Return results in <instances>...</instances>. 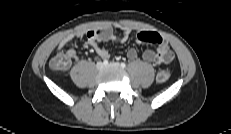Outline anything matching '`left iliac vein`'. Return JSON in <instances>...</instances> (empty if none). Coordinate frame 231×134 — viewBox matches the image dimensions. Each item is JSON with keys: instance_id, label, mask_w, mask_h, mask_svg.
<instances>
[{"instance_id": "4c4485c4", "label": "left iliac vein", "mask_w": 231, "mask_h": 134, "mask_svg": "<svg viewBox=\"0 0 231 134\" xmlns=\"http://www.w3.org/2000/svg\"><path fill=\"white\" fill-rule=\"evenodd\" d=\"M107 68H118L120 67V64L117 62H112L106 66Z\"/></svg>"}]
</instances>
